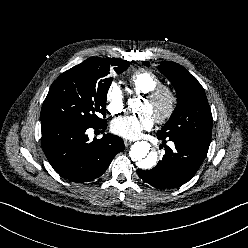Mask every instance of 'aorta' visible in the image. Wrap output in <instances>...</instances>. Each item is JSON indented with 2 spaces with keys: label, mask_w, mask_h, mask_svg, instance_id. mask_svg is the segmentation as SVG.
Here are the masks:
<instances>
[{
  "label": "aorta",
  "mask_w": 248,
  "mask_h": 248,
  "mask_svg": "<svg viewBox=\"0 0 248 248\" xmlns=\"http://www.w3.org/2000/svg\"><path fill=\"white\" fill-rule=\"evenodd\" d=\"M138 99H129V107L135 109ZM151 150V145L147 141H137L131 148L129 155L139 168L151 169L158 161V154Z\"/></svg>",
  "instance_id": "aorta-1"
}]
</instances>
